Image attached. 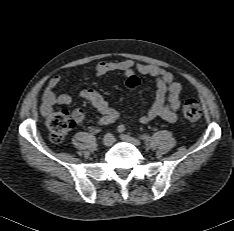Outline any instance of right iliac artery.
I'll use <instances>...</instances> for the list:
<instances>
[{
  "instance_id": "obj_1",
  "label": "right iliac artery",
  "mask_w": 234,
  "mask_h": 231,
  "mask_svg": "<svg viewBox=\"0 0 234 231\" xmlns=\"http://www.w3.org/2000/svg\"><path fill=\"white\" fill-rule=\"evenodd\" d=\"M115 122L114 120H110V119H106V118H101L99 121H98V124L99 125H107V124H111Z\"/></svg>"
}]
</instances>
